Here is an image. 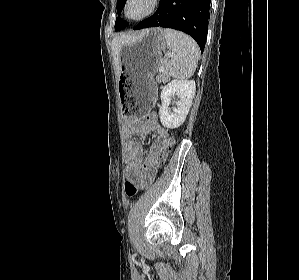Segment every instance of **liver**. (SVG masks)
<instances>
[{
	"label": "liver",
	"mask_w": 299,
	"mask_h": 280,
	"mask_svg": "<svg viewBox=\"0 0 299 280\" xmlns=\"http://www.w3.org/2000/svg\"><path fill=\"white\" fill-rule=\"evenodd\" d=\"M136 36L132 35H120L113 38L111 43L112 55L114 59V64L116 67V74L119 75V61L120 53L124 44L132 41Z\"/></svg>",
	"instance_id": "1"
}]
</instances>
